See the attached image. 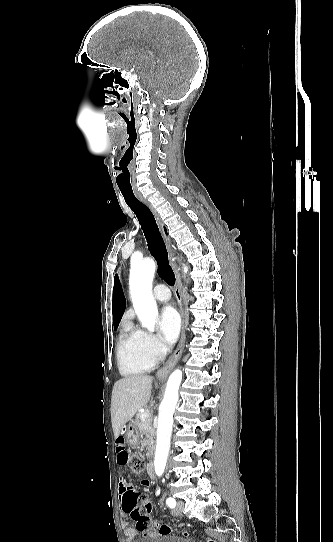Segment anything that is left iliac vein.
Here are the masks:
<instances>
[{"label": "left iliac vein", "instance_id": "obj_1", "mask_svg": "<svg viewBox=\"0 0 333 542\" xmlns=\"http://www.w3.org/2000/svg\"><path fill=\"white\" fill-rule=\"evenodd\" d=\"M183 507H184L183 501H181V500L177 501L175 509H173V511H172L173 515H175V516L180 515L181 512H182Z\"/></svg>", "mask_w": 333, "mask_h": 542}]
</instances>
